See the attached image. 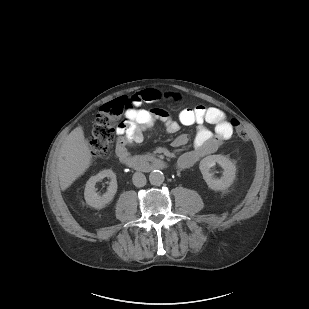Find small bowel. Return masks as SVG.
<instances>
[{
    "instance_id": "1",
    "label": "small bowel",
    "mask_w": 309,
    "mask_h": 309,
    "mask_svg": "<svg viewBox=\"0 0 309 309\" xmlns=\"http://www.w3.org/2000/svg\"><path fill=\"white\" fill-rule=\"evenodd\" d=\"M159 98V92L153 89L141 91L128 98L129 106L125 113V124L118 129L117 133L116 157L119 159L127 158L129 156L127 147L141 142L144 131L153 129L157 121L162 122L166 131L170 134L177 133L180 124L184 126L197 125L193 149L185 152L178 159L177 166L181 170L192 166L204 156L214 153L222 147L226 140L232 137L234 133L233 124L226 120L224 113L218 108L203 105L185 107L180 110L178 114L179 122H177L164 109L147 110L142 107L143 104L155 102ZM172 98L179 100V97L175 95H172ZM205 123L212 125L214 129L210 130L204 125ZM187 142L188 136L180 134L175 138L173 144L176 147H181Z\"/></svg>"
}]
</instances>
